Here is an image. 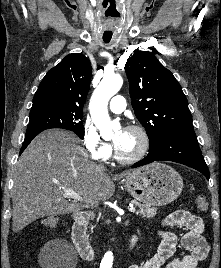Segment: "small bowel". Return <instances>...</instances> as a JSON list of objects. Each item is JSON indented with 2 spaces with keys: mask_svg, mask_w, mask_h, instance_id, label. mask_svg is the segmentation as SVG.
I'll use <instances>...</instances> for the list:
<instances>
[{
  "mask_svg": "<svg viewBox=\"0 0 221 268\" xmlns=\"http://www.w3.org/2000/svg\"><path fill=\"white\" fill-rule=\"evenodd\" d=\"M165 226H178L186 229L181 238V245L186 250L183 258H172L178 238L168 231H160L161 239L155 255L142 264H134L129 268H200L209 253V245L203 237V220L186 210H176L163 221Z\"/></svg>",
  "mask_w": 221,
  "mask_h": 268,
  "instance_id": "obj_1",
  "label": "small bowel"
}]
</instances>
